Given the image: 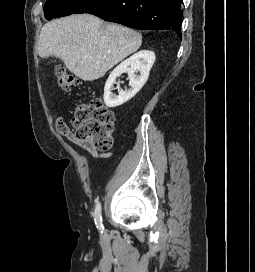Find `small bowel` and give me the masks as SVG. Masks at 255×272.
I'll return each instance as SVG.
<instances>
[{
	"label": "small bowel",
	"instance_id": "1",
	"mask_svg": "<svg viewBox=\"0 0 255 272\" xmlns=\"http://www.w3.org/2000/svg\"><path fill=\"white\" fill-rule=\"evenodd\" d=\"M55 124H56V129L61 136L65 137L66 139L73 142L74 144L85 148L95 159H99L101 157V153L98 150L92 148L91 146H89L88 144L84 142L79 141L75 137L70 127L68 126V124L62 117H58L56 119Z\"/></svg>",
	"mask_w": 255,
	"mask_h": 272
}]
</instances>
